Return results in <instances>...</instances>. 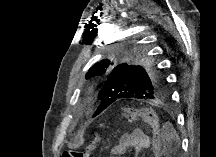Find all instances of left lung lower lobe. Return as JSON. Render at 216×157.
Instances as JSON below:
<instances>
[{"mask_svg": "<svg viewBox=\"0 0 216 157\" xmlns=\"http://www.w3.org/2000/svg\"><path fill=\"white\" fill-rule=\"evenodd\" d=\"M111 102V101H110ZM110 102H103L100 104V106L98 107V109L96 110L94 116L98 115L99 113H101L103 110H105L110 104ZM114 103V102H113Z\"/></svg>", "mask_w": 216, "mask_h": 157, "instance_id": "obj_1", "label": "left lung lower lobe"}]
</instances>
